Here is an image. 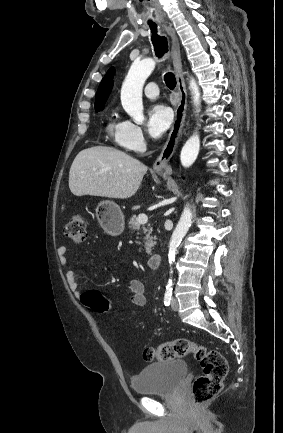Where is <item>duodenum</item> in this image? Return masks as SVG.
Here are the masks:
<instances>
[{
  "mask_svg": "<svg viewBox=\"0 0 283 433\" xmlns=\"http://www.w3.org/2000/svg\"><path fill=\"white\" fill-rule=\"evenodd\" d=\"M162 256L159 253L151 255L148 259V266L151 269H157L161 264Z\"/></svg>",
  "mask_w": 283,
  "mask_h": 433,
  "instance_id": "obj_1",
  "label": "duodenum"
}]
</instances>
